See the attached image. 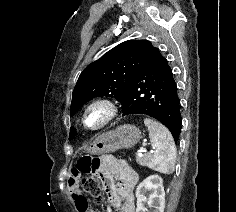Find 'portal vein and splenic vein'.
<instances>
[{"mask_svg":"<svg viewBox=\"0 0 236 212\" xmlns=\"http://www.w3.org/2000/svg\"><path fill=\"white\" fill-rule=\"evenodd\" d=\"M145 151V148L144 147H141L139 152H144ZM150 153H153V151H150Z\"/></svg>","mask_w":236,"mask_h":212,"instance_id":"18ae733b","label":"portal vein and splenic vein"}]
</instances>
